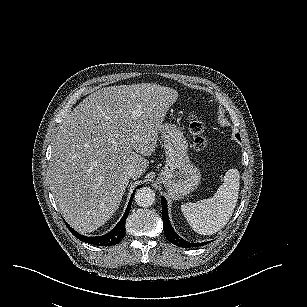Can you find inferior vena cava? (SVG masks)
<instances>
[{"mask_svg": "<svg viewBox=\"0 0 307 307\" xmlns=\"http://www.w3.org/2000/svg\"><path fill=\"white\" fill-rule=\"evenodd\" d=\"M127 176H128V178H130V177L132 176V173H128V175H127Z\"/></svg>", "mask_w": 307, "mask_h": 307, "instance_id": "602c4592", "label": "inferior vena cava"}]
</instances>
